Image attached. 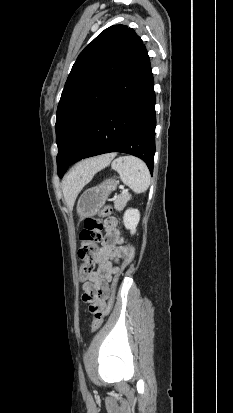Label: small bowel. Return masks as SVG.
I'll use <instances>...</instances> for the list:
<instances>
[{
	"label": "small bowel",
	"mask_w": 233,
	"mask_h": 413,
	"mask_svg": "<svg viewBox=\"0 0 233 413\" xmlns=\"http://www.w3.org/2000/svg\"><path fill=\"white\" fill-rule=\"evenodd\" d=\"M123 237L117 228L115 218L106 221V234L104 242L97 255V269L83 284V304H91L93 308H98L106 303L109 297V284L120 272L116 261L124 259L127 247L123 245ZM93 312V311H92Z\"/></svg>",
	"instance_id": "obj_1"
}]
</instances>
